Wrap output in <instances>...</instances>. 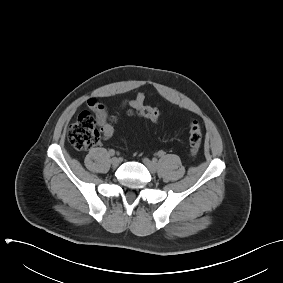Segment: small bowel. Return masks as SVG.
Here are the masks:
<instances>
[{"label":"small bowel","instance_id":"small-bowel-1","mask_svg":"<svg viewBox=\"0 0 283 283\" xmlns=\"http://www.w3.org/2000/svg\"><path fill=\"white\" fill-rule=\"evenodd\" d=\"M145 100V94L139 93L134 99L126 101L124 104L130 108L142 106ZM89 108L95 113L97 124L102 127L108 121V112L105 105L96 98L88 100Z\"/></svg>","mask_w":283,"mask_h":283}]
</instances>
